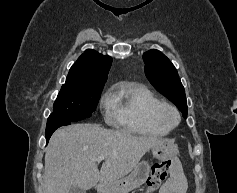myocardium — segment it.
<instances>
[{
	"instance_id": "f54148a6",
	"label": "myocardium",
	"mask_w": 237,
	"mask_h": 193,
	"mask_svg": "<svg viewBox=\"0 0 237 193\" xmlns=\"http://www.w3.org/2000/svg\"><path fill=\"white\" fill-rule=\"evenodd\" d=\"M153 117L157 123L169 130L175 128L181 120L178 109L169 103H161L154 110Z\"/></svg>"
}]
</instances>
